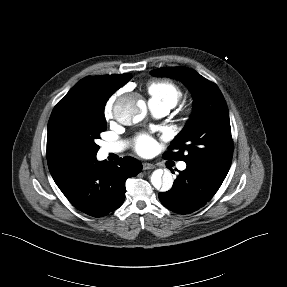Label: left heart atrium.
Segmentation results:
<instances>
[{"label":"left heart atrium","instance_id":"39dd6f15","mask_svg":"<svg viewBox=\"0 0 287 287\" xmlns=\"http://www.w3.org/2000/svg\"><path fill=\"white\" fill-rule=\"evenodd\" d=\"M156 147V143L153 138H151L149 135L141 134L137 137L136 143H135V150L140 155H148Z\"/></svg>","mask_w":287,"mask_h":287}]
</instances>
